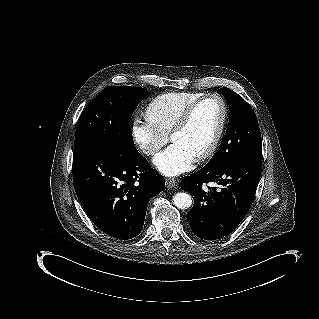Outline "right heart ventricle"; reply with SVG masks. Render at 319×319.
Masks as SVG:
<instances>
[{"label": "right heart ventricle", "mask_w": 319, "mask_h": 319, "mask_svg": "<svg viewBox=\"0 0 319 319\" xmlns=\"http://www.w3.org/2000/svg\"><path fill=\"white\" fill-rule=\"evenodd\" d=\"M203 97L196 92L172 93L161 96L149 108L145 115L146 124L154 129L166 132L173 127L181 115Z\"/></svg>", "instance_id": "obj_1"}]
</instances>
